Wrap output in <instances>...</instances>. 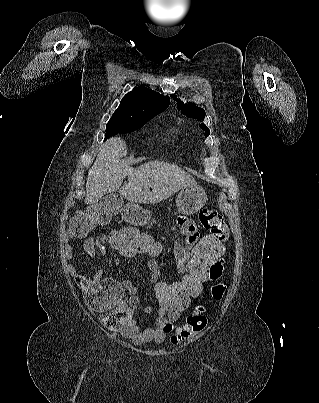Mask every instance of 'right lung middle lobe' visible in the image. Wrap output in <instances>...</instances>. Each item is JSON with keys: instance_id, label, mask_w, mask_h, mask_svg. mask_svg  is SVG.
Returning a JSON list of instances; mask_svg holds the SVG:
<instances>
[{"instance_id": "1", "label": "right lung middle lobe", "mask_w": 319, "mask_h": 403, "mask_svg": "<svg viewBox=\"0 0 319 403\" xmlns=\"http://www.w3.org/2000/svg\"><path fill=\"white\" fill-rule=\"evenodd\" d=\"M153 117L146 119H134L114 113L106 125L105 139L117 134H125L139 129Z\"/></svg>"}]
</instances>
